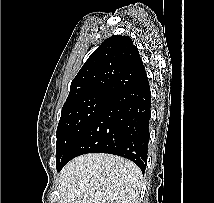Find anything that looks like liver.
I'll list each match as a JSON object with an SVG mask.
<instances>
[{"mask_svg":"<svg viewBox=\"0 0 214 203\" xmlns=\"http://www.w3.org/2000/svg\"><path fill=\"white\" fill-rule=\"evenodd\" d=\"M141 187V170L130 160L112 154H85L62 169L59 203H138Z\"/></svg>","mask_w":214,"mask_h":203,"instance_id":"6515ba94","label":"liver"}]
</instances>
